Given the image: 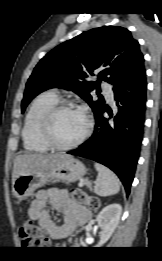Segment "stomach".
I'll return each mask as SVG.
<instances>
[{
    "mask_svg": "<svg viewBox=\"0 0 162 261\" xmlns=\"http://www.w3.org/2000/svg\"><path fill=\"white\" fill-rule=\"evenodd\" d=\"M86 167L82 162L67 155L47 171H37L21 174L13 183L14 196L19 200H26L33 196L34 191L48 182L62 180L74 182L86 174Z\"/></svg>",
    "mask_w": 162,
    "mask_h": 261,
    "instance_id": "1",
    "label": "stomach"
}]
</instances>
